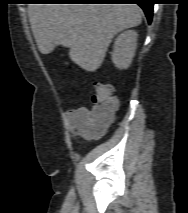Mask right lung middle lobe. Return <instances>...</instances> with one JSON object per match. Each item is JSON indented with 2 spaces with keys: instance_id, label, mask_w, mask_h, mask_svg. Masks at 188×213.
Instances as JSON below:
<instances>
[{
  "instance_id": "right-lung-middle-lobe-1",
  "label": "right lung middle lobe",
  "mask_w": 188,
  "mask_h": 213,
  "mask_svg": "<svg viewBox=\"0 0 188 213\" xmlns=\"http://www.w3.org/2000/svg\"><path fill=\"white\" fill-rule=\"evenodd\" d=\"M32 2H44L46 0H31Z\"/></svg>"
}]
</instances>
